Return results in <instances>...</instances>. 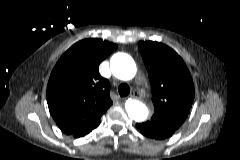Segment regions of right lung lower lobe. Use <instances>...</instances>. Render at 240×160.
I'll list each match as a JSON object with an SVG mask.
<instances>
[{
    "label": "right lung lower lobe",
    "mask_w": 240,
    "mask_h": 160,
    "mask_svg": "<svg viewBox=\"0 0 240 160\" xmlns=\"http://www.w3.org/2000/svg\"><path fill=\"white\" fill-rule=\"evenodd\" d=\"M100 122H97L93 125H90L88 127H85L77 132H75L74 134H72V136H74L75 138H79V137H82V136H85L86 134L90 133L93 129H95L98 125H99Z\"/></svg>",
    "instance_id": "98d812e1"
}]
</instances>
